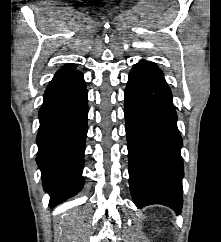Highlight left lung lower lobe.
I'll use <instances>...</instances> for the list:
<instances>
[{
    "label": "left lung lower lobe",
    "mask_w": 221,
    "mask_h": 242,
    "mask_svg": "<svg viewBox=\"0 0 221 242\" xmlns=\"http://www.w3.org/2000/svg\"><path fill=\"white\" fill-rule=\"evenodd\" d=\"M129 183L138 208L182 209V138L172 93L163 75L135 65L125 90Z\"/></svg>",
    "instance_id": "1"
}]
</instances>
